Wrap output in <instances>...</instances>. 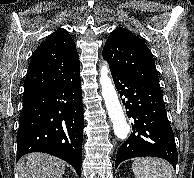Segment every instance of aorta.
I'll list each match as a JSON object with an SVG mask.
<instances>
[{"label": "aorta", "instance_id": "aorta-1", "mask_svg": "<svg viewBox=\"0 0 194 178\" xmlns=\"http://www.w3.org/2000/svg\"><path fill=\"white\" fill-rule=\"evenodd\" d=\"M108 74V65H102L100 69L102 96L108 110L109 118L113 123L114 134L120 139H125L130 131V126L126 122V118L119 102L115 87Z\"/></svg>", "mask_w": 194, "mask_h": 178}]
</instances>
